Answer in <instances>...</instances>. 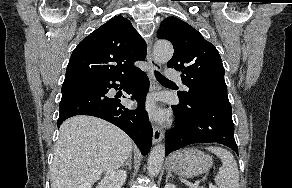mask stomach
<instances>
[{
  "label": "stomach",
  "mask_w": 292,
  "mask_h": 188,
  "mask_svg": "<svg viewBox=\"0 0 292 188\" xmlns=\"http://www.w3.org/2000/svg\"><path fill=\"white\" fill-rule=\"evenodd\" d=\"M212 163L209 154L196 149H184L170 155L168 168L182 177L190 178L206 172Z\"/></svg>",
  "instance_id": "stomach-1"
}]
</instances>
